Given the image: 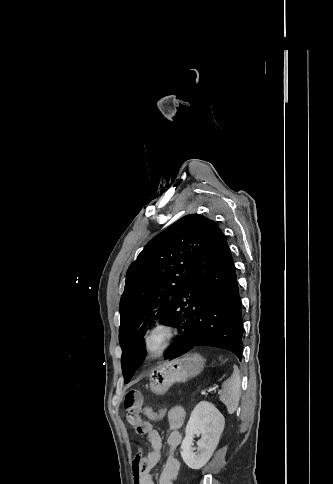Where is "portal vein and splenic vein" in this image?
<instances>
[{"label":"portal vein and splenic vein","instance_id":"1","mask_svg":"<svg viewBox=\"0 0 333 484\" xmlns=\"http://www.w3.org/2000/svg\"><path fill=\"white\" fill-rule=\"evenodd\" d=\"M216 388L215 387H212V388H207V389H203L201 391V395H207V392L208 391H212V390H215Z\"/></svg>","mask_w":333,"mask_h":484}]
</instances>
